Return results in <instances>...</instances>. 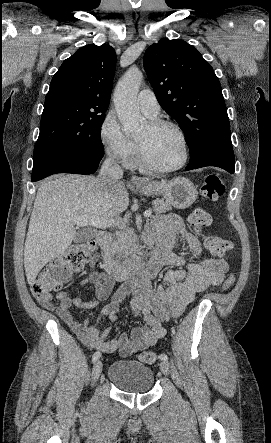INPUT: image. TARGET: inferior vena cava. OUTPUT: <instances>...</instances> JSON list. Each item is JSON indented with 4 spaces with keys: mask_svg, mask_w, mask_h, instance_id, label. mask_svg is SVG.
I'll list each match as a JSON object with an SVG mask.
<instances>
[{
    "mask_svg": "<svg viewBox=\"0 0 271 443\" xmlns=\"http://www.w3.org/2000/svg\"><path fill=\"white\" fill-rule=\"evenodd\" d=\"M121 178H123V170H121L120 166H118L114 156H109V158H106L105 162H103V166L98 176L99 188H101V190L113 188L115 182H119ZM104 263L106 265V271L111 273L114 267L111 253L104 257Z\"/></svg>",
    "mask_w": 271,
    "mask_h": 443,
    "instance_id": "inferior-vena-cava-1",
    "label": "inferior vena cava"
}]
</instances>
